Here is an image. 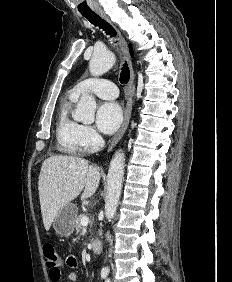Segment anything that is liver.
Masks as SVG:
<instances>
[{
  "mask_svg": "<svg viewBox=\"0 0 232 282\" xmlns=\"http://www.w3.org/2000/svg\"><path fill=\"white\" fill-rule=\"evenodd\" d=\"M100 173L88 161L74 156H51L41 167L38 190L43 224L48 231L59 210L81 195L90 198L97 190Z\"/></svg>",
  "mask_w": 232,
  "mask_h": 282,
  "instance_id": "6515ba94",
  "label": "liver"
}]
</instances>
